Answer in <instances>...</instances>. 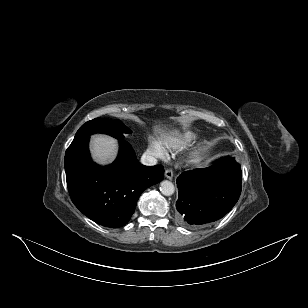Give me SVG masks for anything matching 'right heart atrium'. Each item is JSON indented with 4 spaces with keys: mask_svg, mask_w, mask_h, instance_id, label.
I'll return each instance as SVG.
<instances>
[{
    "mask_svg": "<svg viewBox=\"0 0 308 308\" xmlns=\"http://www.w3.org/2000/svg\"><path fill=\"white\" fill-rule=\"evenodd\" d=\"M152 151L158 155V156H162L163 155V150L161 149V147L157 144H153L151 146Z\"/></svg>",
    "mask_w": 308,
    "mask_h": 308,
    "instance_id": "d8ad5b80",
    "label": "right heart atrium"
}]
</instances>
